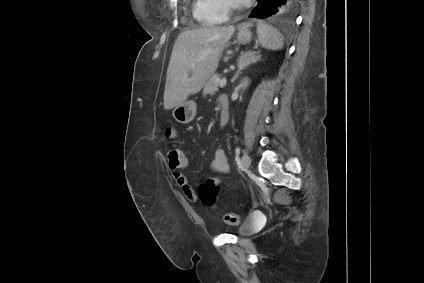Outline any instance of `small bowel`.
<instances>
[{"label": "small bowel", "instance_id": "small-bowel-1", "mask_svg": "<svg viewBox=\"0 0 424 283\" xmlns=\"http://www.w3.org/2000/svg\"><path fill=\"white\" fill-rule=\"evenodd\" d=\"M188 165H189V160L186 157V163L182 167L178 169H171L172 176L175 182L177 183V185L179 186V188L182 190L185 197L191 202H196L197 195H196L195 189L191 185L189 178L181 171L187 168ZM210 168L211 170L222 173V174H225L229 171L230 165L228 162L227 155L223 149H217L215 151L214 158L210 164Z\"/></svg>", "mask_w": 424, "mask_h": 283}]
</instances>
